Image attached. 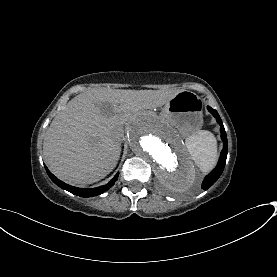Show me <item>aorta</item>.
Segmentation results:
<instances>
[{"mask_svg":"<svg viewBox=\"0 0 277 277\" xmlns=\"http://www.w3.org/2000/svg\"><path fill=\"white\" fill-rule=\"evenodd\" d=\"M131 149L146 161L159 183L171 192H185L195 181V169L174 129L154 114L137 117L129 127Z\"/></svg>","mask_w":277,"mask_h":277,"instance_id":"1","label":"aorta"}]
</instances>
